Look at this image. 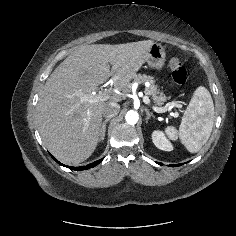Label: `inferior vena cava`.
Wrapping results in <instances>:
<instances>
[{
    "mask_svg": "<svg viewBox=\"0 0 236 236\" xmlns=\"http://www.w3.org/2000/svg\"><path fill=\"white\" fill-rule=\"evenodd\" d=\"M120 111V106L116 102H110L105 105L102 114L105 118L110 119L116 116Z\"/></svg>",
    "mask_w": 236,
    "mask_h": 236,
    "instance_id": "inferior-vena-cava-1",
    "label": "inferior vena cava"
}]
</instances>
